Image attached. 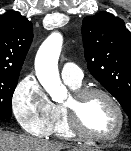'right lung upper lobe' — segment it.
<instances>
[{
    "instance_id": "cb5924a9",
    "label": "right lung upper lobe",
    "mask_w": 131,
    "mask_h": 151,
    "mask_svg": "<svg viewBox=\"0 0 131 151\" xmlns=\"http://www.w3.org/2000/svg\"><path fill=\"white\" fill-rule=\"evenodd\" d=\"M33 39L32 23L18 12L0 16V73H19Z\"/></svg>"
}]
</instances>
